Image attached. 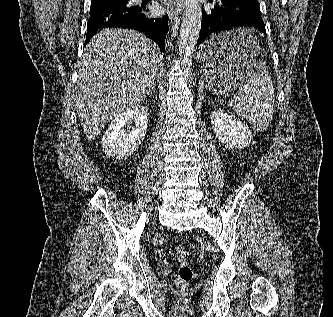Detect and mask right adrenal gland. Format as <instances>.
I'll use <instances>...</instances> for the list:
<instances>
[{
  "instance_id": "2a0ac1e0",
  "label": "right adrenal gland",
  "mask_w": 333,
  "mask_h": 317,
  "mask_svg": "<svg viewBox=\"0 0 333 317\" xmlns=\"http://www.w3.org/2000/svg\"><path fill=\"white\" fill-rule=\"evenodd\" d=\"M155 95V96H157L156 94H155V85L152 87V90L150 91V93L148 94L149 96L150 95Z\"/></svg>"
}]
</instances>
